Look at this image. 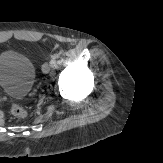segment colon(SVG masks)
<instances>
[{
  "label": "colon",
  "mask_w": 163,
  "mask_h": 163,
  "mask_svg": "<svg viewBox=\"0 0 163 163\" xmlns=\"http://www.w3.org/2000/svg\"><path fill=\"white\" fill-rule=\"evenodd\" d=\"M10 112L12 115L18 118H24L27 115V111L20 105L13 104L10 108Z\"/></svg>",
  "instance_id": "colon-1"
}]
</instances>
